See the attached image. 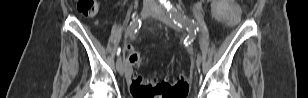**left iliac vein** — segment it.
I'll return each mask as SVG.
<instances>
[{
	"label": "left iliac vein",
	"mask_w": 308,
	"mask_h": 98,
	"mask_svg": "<svg viewBox=\"0 0 308 98\" xmlns=\"http://www.w3.org/2000/svg\"><path fill=\"white\" fill-rule=\"evenodd\" d=\"M152 14H153L154 17H156L157 19H159L163 23L167 24L168 26H170L174 30L180 31L179 27L174 23L172 18H170L165 13V11H163L159 6L154 7ZM194 59H195L196 65L199 67L200 64H201V57H200V55L196 54Z\"/></svg>",
	"instance_id": "1"
}]
</instances>
